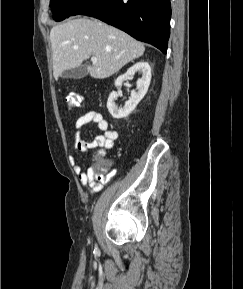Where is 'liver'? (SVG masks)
I'll return each mask as SVG.
<instances>
[{
	"instance_id": "liver-1",
	"label": "liver",
	"mask_w": 243,
	"mask_h": 289,
	"mask_svg": "<svg viewBox=\"0 0 243 289\" xmlns=\"http://www.w3.org/2000/svg\"><path fill=\"white\" fill-rule=\"evenodd\" d=\"M50 42L55 80L63 71L81 66L90 56L98 58L86 66L90 76L108 78L145 51L144 45L127 33L87 17L54 26Z\"/></svg>"
}]
</instances>
